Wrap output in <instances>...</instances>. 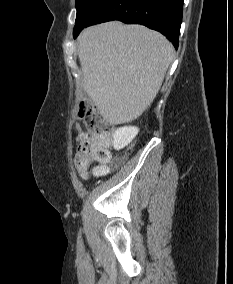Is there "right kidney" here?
Here are the masks:
<instances>
[{
  "mask_svg": "<svg viewBox=\"0 0 233 284\" xmlns=\"http://www.w3.org/2000/svg\"><path fill=\"white\" fill-rule=\"evenodd\" d=\"M139 129L137 127H122L115 131L113 135V146L119 150L127 146L138 134Z\"/></svg>",
  "mask_w": 233,
  "mask_h": 284,
  "instance_id": "ca27d5eb",
  "label": "right kidney"
}]
</instances>
